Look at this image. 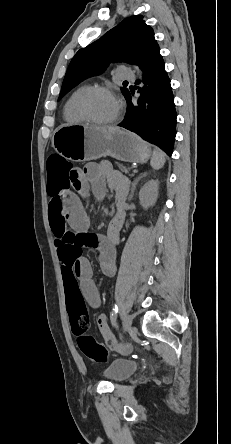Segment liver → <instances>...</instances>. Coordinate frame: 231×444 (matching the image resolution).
<instances>
[{"instance_id": "obj_1", "label": "liver", "mask_w": 231, "mask_h": 444, "mask_svg": "<svg viewBox=\"0 0 231 444\" xmlns=\"http://www.w3.org/2000/svg\"><path fill=\"white\" fill-rule=\"evenodd\" d=\"M94 128L101 130V131H113L116 129L114 127H94Z\"/></svg>"}]
</instances>
